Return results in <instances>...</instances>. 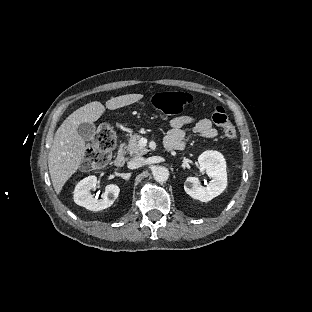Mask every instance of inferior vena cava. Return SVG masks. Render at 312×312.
<instances>
[{
	"label": "inferior vena cava",
	"mask_w": 312,
	"mask_h": 312,
	"mask_svg": "<svg viewBox=\"0 0 312 312\" xmlns=\"http://www.w3.org/2000/svg\"><path fill=\"white\" fill-rule=\"evenodd\" d=\"M145 158L143 157H135L128 162V167L130 169H136L145 165Z\"/></svg>",
	"instance_id": "obj_1"
}]
</instances>
